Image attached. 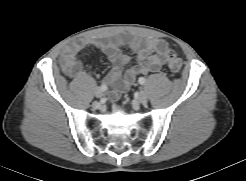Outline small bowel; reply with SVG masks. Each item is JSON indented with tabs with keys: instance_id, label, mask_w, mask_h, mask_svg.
Instances as JSON below:
<instances>
[{
	"instance_id": "c3829d8e",
	"label": "small bowel",
	"mask_w": 246,
	"mask_h": 181,
	"mask_svg": "<svg viewBox=\"0 0 246 181\" xmlns=\"http://www.w3.org/2000/svg\"><path fill=\"white\" fill-rule=\"evenodd\" d=\"M127 45L135 54L136 63L124 72L130 57L123 53L121 47ZM94 47L101 50L111 61L113 68L104 78V83L112 86L110 97L117 100L126 92L139 75L158 72L165 64L170 51L162 39L138 38L119 34L109 40L80 38L66 45L60 56L63 72L78 78L82 75V62L78 59L80 51Z\"/></svg>"
}]
</instances>
